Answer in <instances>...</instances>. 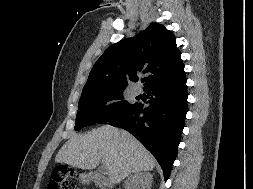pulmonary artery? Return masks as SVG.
Wrapping results in <instances>:
<instances>
[{"mask_svg":"<svg viewBox=\"0 0 253 189\" xmlns=\"http://www.w3.org/2000/svg\"><path fill=\"white\" fill-rule=\"evenodd\" d=\"M133 93L135 95H140L142 93V88H141V86L139 84L134 87Z\"/></svg>","mask_w":253,"mask_h":189,"instance_id":"1","label":"pulmonary artery"}]
</instances>
